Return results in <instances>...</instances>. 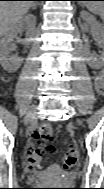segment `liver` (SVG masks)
<instances>
[{
	"label": "liver",
	"mask_w": 104,
	"mask_h": 189,
	"mask_svg": "<svg viewBox=\"0 0 104 189\" xmlns=\"http://www.w3.org/2000/svg\"><path fill=\"white\" fill-rule=\"evenodd\" d=\"M33 4V1H1L0 34L5 35Z\"/></svg>",
	"instance_id": "6515ba94"
}]
</instances>
